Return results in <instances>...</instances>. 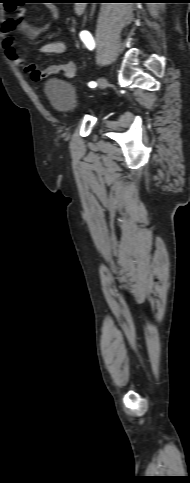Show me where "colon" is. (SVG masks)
Wrapping results in <instances>:
<instances>
[{"mask_svg":"<svg viewBox=\"0 0 190 483\" xmlns=\"http://www.w3.org/2000/svg\"><path fill=\"white\" fill-rule=\"evenodd\" d=\"M8 5L11 6V9H16L18 5H20V1H7Z\"/></svg>","mask_w":190,"mask_h":483,"instance_id":"obj_1","label":"colon"}]
</instances>
